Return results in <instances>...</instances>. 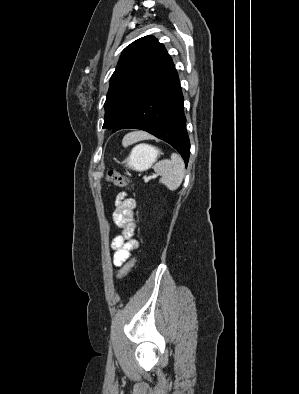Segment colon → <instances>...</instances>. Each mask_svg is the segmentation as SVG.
Returning <instances> with one entry per match:
<instances>
[{"label":"colon","mask_w":299,"mask_h":394,"mask_svg":"<svg viewBox=\"0 0 299 394\" xmlns=\"http://www.w3.org/2000/svg\"><path fill=\"white\" fill-rule=\"evenodd\" d=\"M107 179L109 182L119 187H125L129 185L128 179L118 172L108 171ZM134 263H135V258H131L122 266V268L118 273L119 281H122L127 276L129 271L133 267Z\"/></svg>","instance_id":"1"}]
</instances>
